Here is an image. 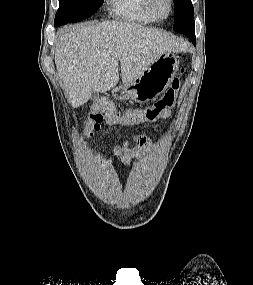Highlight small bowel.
<instances>
[{
	"label": "small bowel",
	"mask_w": 253,
	"mask_h": 285,
	"mask_svg": "<svg viewBox=\"0 0 253 285\" xmlns=\"http://www.w3.org/2000/svg\"><path fill=\"white\" fill-rule=\"evenodd\" d=\"M168 109L162 114L161 117L168 114ZM136 145L134 147H130L128 142H124L115 147V152L122 156L123 161L126 164H129L132 160L136 159L140 155V150L152 145V141L145 136H137L135 138Z\"/></svg>",
	"instance_id": "obj_1"
}]
</instances>
